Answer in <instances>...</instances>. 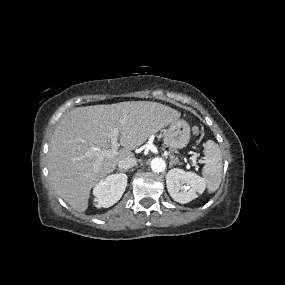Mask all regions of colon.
Returning <instances> with one entry per match:
<instances>
[{
    "label": "colon",
    "instance_id": "5ec220e1",
    "mask_svg": "<svg viewBox=\"0 0 285 285\" xmlns=\"http://www.w3.org/2000/svg\"><path fill=\"white\" fill-rule=\"evenodd\" d=\"M194 132L197 133V132H198V129H197V128H194Z\"/></svg>",
    "mask_w": 285,
    "mask_h": 285
}]
</instances>
